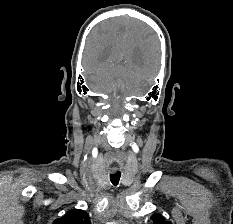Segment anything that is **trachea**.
Masks as SVG:
<instances>
[{
    "mask_svg": "<svg viewBox=\"0 0 233 224\" xmlns=\"http://www.w3.org/2000/svg\"><path fill=\"white\" fill-rule=\"evenodd\" d=\"M120 177H121V173L120 172H116V173L110 174V181L112 182V184L114 186L118 185Z\"/></svg>",
    "mask_w": 233,
    "mask_h": 224,
    "instance_id": "3493384b",
    "label": "trachea"
}]
</instances>
